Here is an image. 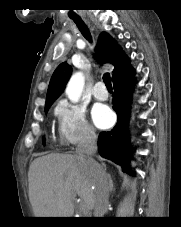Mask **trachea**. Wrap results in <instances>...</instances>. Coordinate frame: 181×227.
<instances>
[{
    "instance_id": "1",
    "label": "trachea",
    "mask_w": 181,
    "mask_h": 227,
    "mask_svg": "<svg viewBox=\"0 0 181 227\" xmlns=\"http://www.w3.org/2000/svg\"><path fill=\"white\" fill-rule=\"evenodd\" d=\"M74 22L76 23L77 27L79 28L83 36L91 42V35L84 22L80 19H75ZM103 81L108 89H112L111 78L109 73H105L103 75Z\"/></svg>"
}]
</instances>
